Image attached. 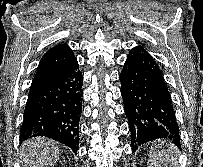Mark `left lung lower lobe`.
Masks as SVG:
<instances>
[{
	"instance_id": "left-lung-lower-lobe-1",
	"label": "left lung lower lobe",
	"mask_w": 203,
	"mask_h": 167,
	"mask_svg": "<svg viewBox=\"0 0 203 167\" xmlns=\"http://www.w3.org/2000/svg\"><path fill=\"white\" fill-rule=\"evenodd\" d=\"M119 79L132 149L157 139L180 148L171 96L155 59L140 46L131 49Z\"/></svg>"
}]
</instances>
